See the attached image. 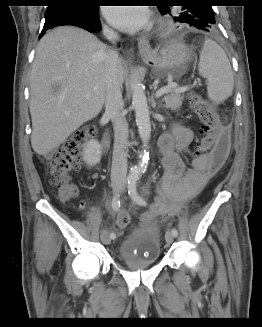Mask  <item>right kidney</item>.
<instances>
[{
  "mask_svg": "<svg viewBox=\"0 0 262 327\" xmlns=\"http://www.w3.org/2000/svg\"><path fill=\"white\" fill-rule=\"evenodd\" d=\"M101 159V146L95 139L88 141L83 150V161L92 167L100 162Z\"/></svg>",
  "mask_w": 262,
  "mask_h": 327,
  "instance_id": "right-kidney-1",
  "label": "right kidney"
}]
</instances>
